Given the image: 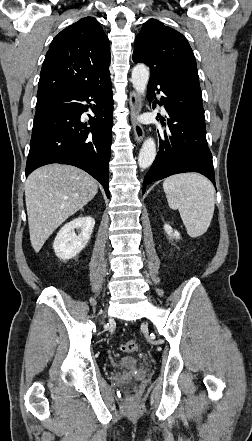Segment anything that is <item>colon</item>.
<instances>
[{
  "label": "colon",
  "mask_w": 252,
  "mask_h": 441,
  "mask_svg": "<svg viewBox=\"0 0 252 441\" xmlns=\"http://www.w3.org/2000/svg\"><path fill=\"white\" fill-rule=\"evenodd\" d=\"M138 349H139V344L134 340L127 341L121 345V351L124 353H133ZM135 394H136L135 390L133 388H129L128 396L132 398L135 396Z\"/></svg>",
  "instance_id": "obj_1"
}]
</instances>
